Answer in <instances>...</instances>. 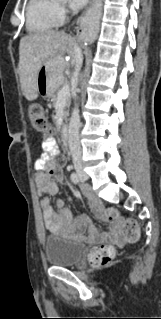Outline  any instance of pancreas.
Here are the masks:
<instances>
[{"instance_id": "obj_1", "label": "pancreas", "mask_w": 161, "mask_h": 319, "mask_svg": "<svg viewBox=\"0 0 161 319\" xmlns=\"http://www.w3.org/2000/svg\"><path fill=\"white\" fill-rule=\"evenodd\" d=\"M59 91H60V90H58L56 93H54V94L52 95V102H53L54 105L57 103V100H58V92H59ZM69 105H70V99H69V97H67V98L65 99V102H64V118H65V119H67V116H68L67 108L69 107Z\"/></svg>"}]
</instances>
